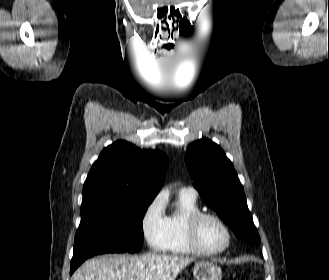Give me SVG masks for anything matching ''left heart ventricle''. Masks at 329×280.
Segmentation results:
<instances>
[{"instance_id":"1","label":"left heart ventricle","mask_w":329,"mask_h":280,"mask_svg":"<svg viewBox=\"0 0 329 280\" xmlns=\"http://www.w3.org/2000/svg\"><path fill=\"white\" fill-rule=\"evenodd\" d=\"M199 241L207 250H216L226 243L223 227L214 219H204L199 226Z\"/></svg>"}]
</instances>
